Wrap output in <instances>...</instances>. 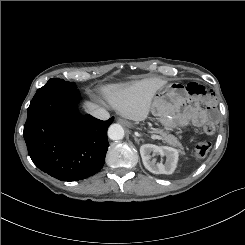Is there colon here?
<instances>
[{
    "instance_id": "colon-1",
    "label": "colon",
    "mask_w": 245,
    "mask_h": 245,
    "mask_svg": "<svg viewBox=\"0 0 245 245\" xmlns=\"http://www.w3.org/2000/svg\"><path fill=\"white\" fill-rule=\"evenodd\" d=\"M203 132L207 135H212L215 132V126L212 123H206L203 126ZM209 150H210V143L206 141H202L196 144L194 153L197 157L202 158L206 156Z\"/></svg>"
}]
</instances>
